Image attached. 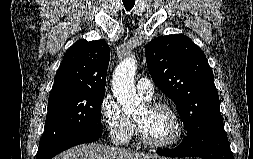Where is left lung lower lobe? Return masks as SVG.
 I'll list each match as a JSON object with an SVG mask.
<instances>
[{
    "label": "left lung lower lobe",
    "instance_id": "obj_1",
    "mask_svg": "<svg viewBox=\"0 0 253 159\" xmlns=\"http://www.w3.org/2000/svg\"><path fill=\"white\" fill-rule=\"evenodd\" d=\"M157 153L168 157L234 159L223 124L215 125L204 135L186 137L178 147L172 150H158Z\"/></svg>",
    "mask_w": 253,
    "mask_h": 159
}]
</instances>
